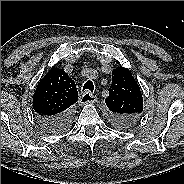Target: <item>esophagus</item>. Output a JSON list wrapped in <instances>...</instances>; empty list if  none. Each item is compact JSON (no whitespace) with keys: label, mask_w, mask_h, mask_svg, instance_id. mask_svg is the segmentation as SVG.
<instances>
[{"label":"esophagus","mask_w":184,"mask_h":184,"mask_svg":"<svg viewBox=\"0 0 184 184\" xmlns=\"http://www.w3.org/2000/svg\"><path fill=\"white\" fill-rule=\"evenodd\" d=\"M97 101V98L95 95H93L91 92L86 91L84 92L80 98H79V104L85 105L90 103H95Z\"/></svg>","instance_id":"obj_1"}]
</instances>
